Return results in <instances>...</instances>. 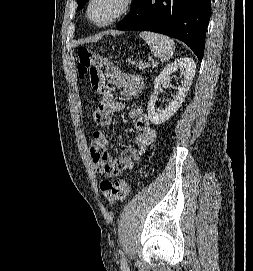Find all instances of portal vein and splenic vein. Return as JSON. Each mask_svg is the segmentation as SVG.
Returning a JSON list of instances; mask_svg holds the SVG:
<instances>
[{
	"mask_svg": "<svg viewBox=\"0 0 253 271\" xmlns=\"http://www.w3.org/2000/svg\"><path fill=\"white\" fill-rule=\"evenodd\" d=\"M145 68H146V65H145L144 63H140V64H139V69H142V70H143V69H145Z\"/></svg>",
	"mask_w": 253,
	"mask_h": 271,
	"instance_id": "portal-vein-and-splenic-vein-1",
	"label": "portal vein and splenic vein"
}]
</instances>
